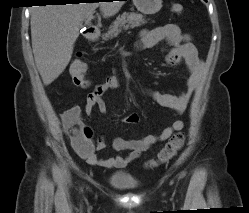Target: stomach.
<instances>
[{
    "mask_svg": "<svg viewBox=\"0 0 249 213\" xmlns=\"http://www.w3.org/2000/svg\"><path fill=\"white\" fill-rule=\"evenodd\" d=\"M133 3L144 14H155L162 8V0H133Z\"/></svg>",
    "mask_w": 249,
    "mask_h": 213,
    "instance_id": "1",
    "label": "stomach"
}]
</instances>
